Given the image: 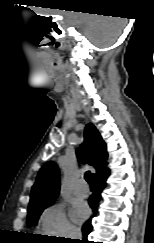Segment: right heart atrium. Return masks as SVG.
<instances>
[{
	"label": "right heart atrium",
	"instance_id": "obj_1",
	"mask_svg": "<svg viewBox=\"0 0 154 243\" xmlns=\"http://www.w3.org/2000/svg\"><path fill=\"white\" fill-rule=\"evenodd\" d=\"M40 230L53 236H74L77 234L76 227L69 221L65 208L55 204L46 208L39 219Z\"/></svg>",
	"mask_w": 154,
	"mask_h": 243
}]
</instances>
